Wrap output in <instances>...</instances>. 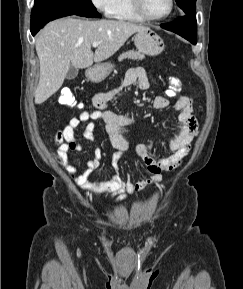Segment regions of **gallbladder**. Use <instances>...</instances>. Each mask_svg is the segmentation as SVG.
<instances>
[{"mask_svg": "<svg viewBox=\"0 0 243 289\" xmlns=\"http://www.w3.org/2000/svg\"><path fill=\"white\" fill-rule=\"evenodd\" d=\"M78 72H79L78 68L71 66L67 72L66 79L72 80V79L76 78L78 75Z\"/></svg>", "mask_w": 243, "mask_h": 289, "instance_id": "1", "label": "gallbladder"}]
</instances>
